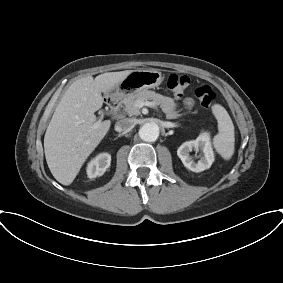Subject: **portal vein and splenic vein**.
<instances>
[{
    "label": "portal vein and splenic vein",
    "instance_id": "18ae733b",
    "mask_svg": "<svg viewBox=\"0 0 283 283\" xmlns=\"http://www.w3.org/2000/svg\"><path fill=\"white\" fill-rule=\"evenodd\" d=\"M137 106L138 108H142L143 106L156 107V103L150 101H138Z\"/></svg>",
    "mask_w": 283,
    "mask_h": 283
}]
</instances>
